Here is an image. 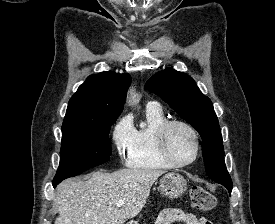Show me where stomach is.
<instances>
[{
	"label": "stomach",
	"mask_w": 275,
	"mask_h": 224,
	"mask_svg": "<svg viewBox=\"0 0 275 224\" xmlns=\"http://www.w3.org/2000/svg\"><path fill=\"white\" fill-rule=\"evenodd\" d=\"M186 180L177 173H168L160 180V190L163 195L173 199L180 197L186 191ZM127 224H138L136 221H131Z\"/></svg>",
	"instance_id": "1"
}]
</instances>
